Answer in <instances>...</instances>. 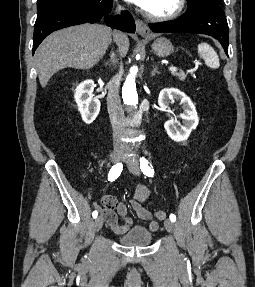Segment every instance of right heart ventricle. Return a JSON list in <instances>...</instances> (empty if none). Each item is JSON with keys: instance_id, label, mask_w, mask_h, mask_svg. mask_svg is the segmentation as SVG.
Segmentation results:
<instances>
[{"instance_id": "e07e8e85", "label": "right heart ventricle", "mask_w": 255, "mask_h": 287, "mask_svg": "<svg viewBox=\"0 0 255 287\" xmlns=\"http://www.w3.org/2000/svg\"><path fill=\"white\" fill-rule=\"evenodd\" d=\"M131 39H138V38H131ZM131 48H138V47H131Z\"/></svg>"}]
</instances>
